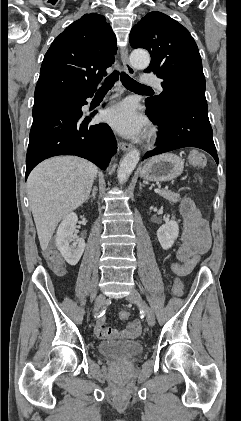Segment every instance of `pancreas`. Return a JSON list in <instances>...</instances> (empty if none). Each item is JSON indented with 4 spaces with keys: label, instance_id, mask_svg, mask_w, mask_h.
Masks as SVG:
<instances>
[{
    "label": "pancreas",
    "instance_id": "cf45deb5",
    "mask_svg": "<svg viewBox=\"0 0 241 421\" xmlns=\"http://www.w3.org/2000/svg\"><path fill=\"white\" fill-rule=\"evenodd\" d=\"M160 196L165 198L166 200H169L171 202H179L180 201V195L178 193H174L168 189H161L158 193Z\"/></svg>",
    "mask_w": 241,
    "mask_h": 421
}]
</instances>
